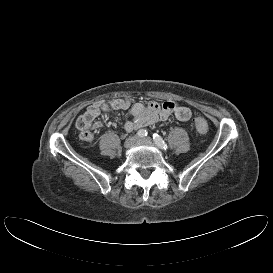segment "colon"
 Listing matches in <instances>:
<instances>
[{
  "label": "colon",
  "instance_id": "1",
  "mask_svg": "<svg viewBox=\"0 0 273 273\" xmlns=\"http://www.w3.org/2000/svg\"><path fill=\"white\" fill-rule=\"evenodd\" d=\"M194 124L198 132L207 133L209 130V124L203 116H196L194 119Z\"/></svg>",
  "mask_w": 273,
  "mask_h": 273
}]
</instances>
